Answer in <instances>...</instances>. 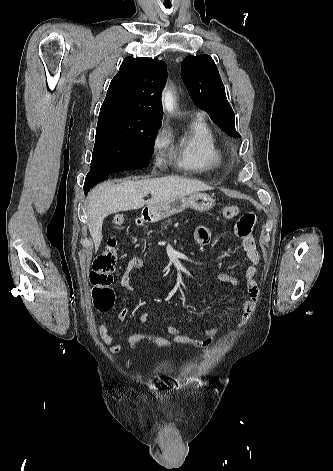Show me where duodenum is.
<instances>
[{
  "label": "duodenum",
  "mask_w": 333,
  "mask_h": 471,
  "mask_svg": "<svg viewBox=\"0 0 333 471\" xmlns=\"http://www.w3.org/2000/svg\"><path fill=\"white\" fill-rule=\"evenodd\" d=\"M144 220H145V218H144V217H143V218H141V221H142V222H143Z\"/></svg>",
  "instance_id": "1"
}]
</instances>
